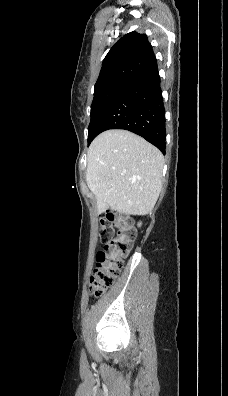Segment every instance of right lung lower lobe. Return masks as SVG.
<instances>
[{
  "instance_id": "1",
  "label": "right lung lower lobe",
  "mask_w": 228,
  "mask_h": 396,
  "mask_svg": "<svg viewBox=\"0 0 228 396\" xmlns=\"http://www.w3.org/2000/svg\"><path fill=\"white\" fill-rule=\"evenodd\" d=\"M161 92L155 62L107 107L95 125L94 138L105 130L125 129L142 136L165 154V111Z\"/></svg>"
}]
</instances>
